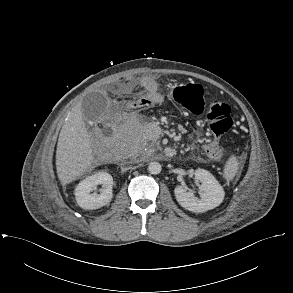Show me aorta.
<instances>
[{
  "instance_id": "aorta-1",
  "label": "aorta",
  "mask_w": 293,
  "mask_h": 293,
  "mask_svg": "<svg viewBox=\"0 0 293 293\" xmlns=\"http://www.w3.org/2000/svg\"><path fill=\"white\" fill-rule=\"evenodd\" d=\"M162 170V166L159 162H151L148 165V171L149 173L153 174V175H157L161 172Z\"/></svg>"
}]
</instances>
